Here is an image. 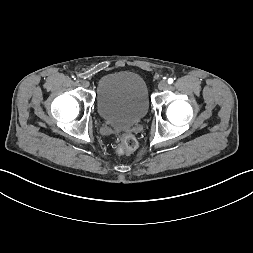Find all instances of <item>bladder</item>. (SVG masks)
<instances>
[{"mask_svg": "<svg viewBox=\"0 0 253 253\" xmlns=\"http://www.w3.org/2000/svg\"><path fill=\"white\" fill-rule=\"evenodd\" d=\"M99 116L109 125L125 128L140 122L149 110L148 89L134 72H117L101 77L96 86Z\"/></svg>", "mask_w": 253, "mask_h": 253, "instance_id": "obj_1", "label": "bladder"}]
</instances>
